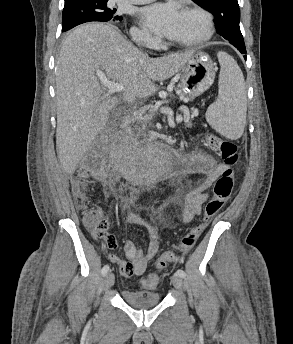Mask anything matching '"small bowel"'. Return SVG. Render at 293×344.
Segmentation results:
<instances>
[{
	"label": "small bowel",
	"mask_w": 293,
	"mask_h": 344,
	"mask_svg": "<svg viewBox=\"0 0 293 344\" xmlns=\"http://www.w3.org/2000/svg\"><path fill=\"white\" fill-rule=\"evenodd\" d=\"M225 168V164H218L206 152L193 151L187 154L182 162L180 172L188 175L199 174L202 176V179L182 195V218L185 223L191 222L201 214L202 205L209 199L208 189L222 174ZM126 223L146 228L148 235L147 250L143 252L131 240H126L123 245L126 260L116 254H109L108 259L119 266L123 276H142L145 273L148 263L155 258L159 251V232L155 226L134 214L128 213L126 215ZM159 223L162 227L169 226V222L164 219H161ZM103 240L107 248H116L117 241L114 235L106 232Z\"/></svg>",
	"instance_id": "obj_1"
}]
</instances>
